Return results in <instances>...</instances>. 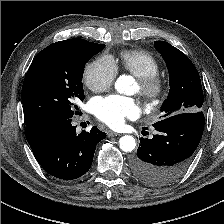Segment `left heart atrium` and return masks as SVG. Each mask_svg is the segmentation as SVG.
I'll use <instances>...</instances> for the list:
<instances>
[{
  "label": "left heart atrium",
  "instance_id": "obj_1",
  "mask_svg": "<svg viewBox=\"0 0 224 224\" xmlns=\"http://www.w3.org/2000/svg\"><path fill=\"white\" fill-rule=\"evenodd\" d=\"M95 116L112 128H117L128 119L136 117L140 108L138 103L129 97L110 95L99 98L94 103Z\"/></svg>",
  "mask_w": 224,
  "mask_h": 224
}]
</instances>
